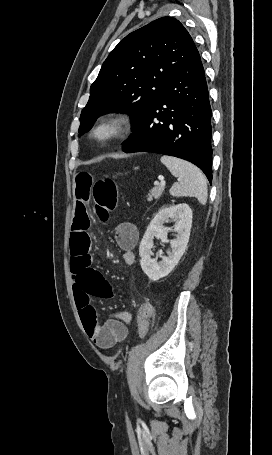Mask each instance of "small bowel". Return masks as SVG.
Instances as JSON below:
<instances>
[{
	"instance_id": "small-bowel-1",
	"label": "small bowel",
	"mask_w": 272,
	"mask_h": 455,
	"mask_svg": "<svg viewBox=\"0 0 272 455\" xmlns=\"http://www.w3.org/2000/svg\"><path fill=\"white\" fill-rule=\"evenodd\" d=\"M95 184L94 176L86 171L75 176L76 209L70 236V267L74 279V297L84 329L91 340L100 348L108 350L123 341L128 335L131 313L117 312L100 325L97 312L91 303L92 298L110 299L115 293L112 286L93 266L89 235L90 215L88 204ZM137 227L130 222H122L115 229V240L121 248L126 265L136 262L134 248L138 242Z\"/></svg>"
}]
</instances>
